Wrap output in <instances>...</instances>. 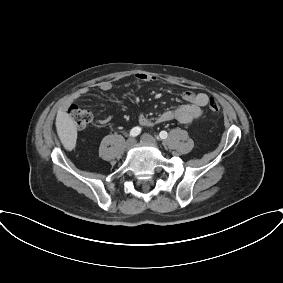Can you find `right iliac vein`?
Here are the masks:
<instances>
[{"instance_id":"63e3f726","label":"right iliac vein","mask_w":283,"mask_h":283,"mask_svg":"<svg viewBox=\"0 0 283 283\" xmlns=\"http://www.w3.org/2000/svg\"><path fill=\"white\" fill-rule=\"evenodd\" d=\"M135 143V140L133 138H129L126 142V148L129 149L131 148Z\"/></svg>"}]
</instances>
